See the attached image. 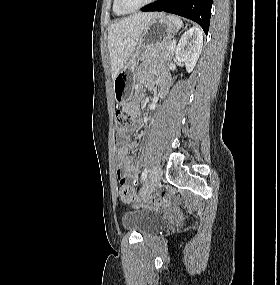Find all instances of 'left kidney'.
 Segmentation results:
<instances>
[{
    "instance_id": "1",
    "label": "left kidney",
    "mask_w": 280,
    "mask_h": 285,
    "mask_svg": "<svg viewBox=\"0 0 280 285\" xmlns=\"http://www.w3.org/2000/svg\"><path fill=\"white\" fill-rule=\"evenodd\" d=\"M203 45V35L199 27L194 26L186 31L175 51V57L178 61L184 62L187 72H191L200 56Z\"/></svg>"
}]
</instances>
